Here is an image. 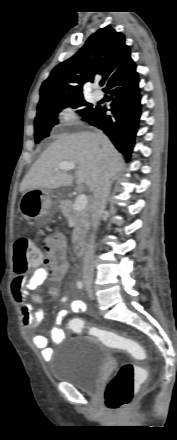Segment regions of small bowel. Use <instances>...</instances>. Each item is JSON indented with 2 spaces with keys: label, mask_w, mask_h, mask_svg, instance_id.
Listing matches in <instances>:
<instances>
[{
  "label": "small bowel",
  "mask_w": 177,
  "mask_h": 440,
  "mask_svg": "<svg viewBox=\"0 0 177 440\" xmlns=\"http://www.w3.org/2000/svg\"><path fill=\"white\" fill-rule=\"evenodd\" d=\"M67 239L64 234L55 232L44 241L45 256L37 269L29 276L17 275L11 282V294L18 304L22 323L26 328L37 327L45 317L42 308L34 309L28 298L30 292H33L31 299L36 304L42 303V297L38 289L49 281L48 293L52 298L60 297L64 305L69 306V310H61L56 319L55 326L51 330V339L54 343H60L64 340L65 334L59 328V324L68 315L69 312L83 314L86 312V304L80 300H72L69 294L60 296L57 284L61 282L68 270L69 264L66 258ZM33 345L40 350L44 359H50L52 349L48 345V339L44 335H34Z\"/></svg>",
  "instance_id": "1"
}]
</instances>
